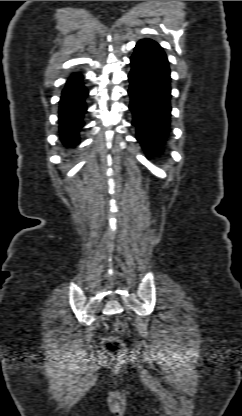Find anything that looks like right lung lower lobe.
<instances>
[{
    "label": "right lung lower lobe",
    "instance_id": "1",
    "mask_svg": "<svg viewBox=\"0 0 242 416\" xmlns=\"http://www.w3.org/2000/svg\"><path fill=\"white\" fill-rule=\"evenodd\" d=\"M82 79L81 75L73 74L67 81L60 99V139L68 148H73L80 143L79 133L84 126L83 118L87 110L85 98L88 91Z\"/></svg>",
    "mask_w": 242,
    "mask_h": 416
}]
</instances>
